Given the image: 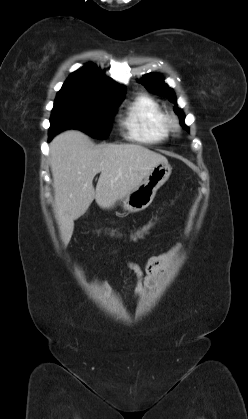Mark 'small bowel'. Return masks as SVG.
<instances>
[{"label":"small bowel","mask_w":248,"mask_h":419,"mask_svg":"<svg viewBox=\"0 0 248 419\" xmlns=\"http://www.w3.org/2000/svg\"><path fill=\"white\" fill-rule=\"evenodd\" d=\"M149 228L150 227L148 226H144L136 230L133 233V237L136 239L142 238L148 232ZM180 248V245H177L163 254L151 257L147 261L144 270L133 262H126V264L133 270L138 279L135 291L137 297L143 296L148 290L154 287L158 277L171 264L173 259L180 251ZM107 288L108 286L105 284L104 289L107 290Z\"/></svg>","instance_id":"c3829d8e"}]
</instances>
